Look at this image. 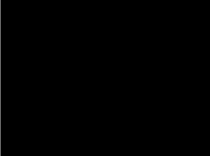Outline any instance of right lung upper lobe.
Segmentation results:
<instances>
[{"mask_svg": "<svg viewBox=\"0 0 210 156\" xmlns=\"http://www.w3.org/2000/svg\"><path fill=\"white\" fill-rule=\"evenodd\" d=\"M55 95L56 100L53 120L56 126L59 127L62 131H69L71 110L66 91L62 87L58 88Z\"/></svg>", "mask_w": 210, "mask_h": 156, "instance_id": "obj_1", "label": "right lung upper lobe"}]
</instances>
